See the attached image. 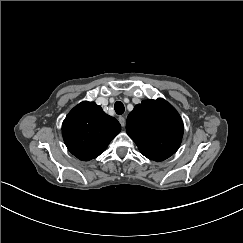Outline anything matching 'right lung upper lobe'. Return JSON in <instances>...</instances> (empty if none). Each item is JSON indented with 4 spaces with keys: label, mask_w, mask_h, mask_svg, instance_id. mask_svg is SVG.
Returning a JSON list of instances; mask_svg holds the SVG:
<instances>
[{
    "label": "right lung upper lobe",
    "mask_w": 243,
    "mask_h": 243,
    "mask_svg": "<svg viewBox=\"0 0 243 243\" xmlns=\"http://www.w3.org/2000/svg\"><path fill=\"white\" fill-rule=\"evenodd\" d=\"M119 122L107 115L94 102H81L74 107L62 124L68 150L82 161L96 158L105 151L120 132Z\"/></svg>",
    "instance_id": "right-lung-upper-lobe-1"
}]
</instances>
